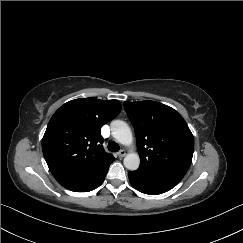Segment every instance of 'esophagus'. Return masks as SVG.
Segmentation results:
<instances>
[{
	"label": "esophagus",
	"mask_w": 243,
	"mask_h": 243,
	"mask_svg": "<svg viewBox=\"0 0 243 243\" xmlns=\"http://www.w3.org/2000/svg\"><path fill=\"white\" fill-rule=\"evenodd\" d=\"M125 155H126V151H125L124 149H122V150H120V151L118 152V156H119V158H123Z\"/></svg>",
	"instance_id": "1"
}]
</instances>
